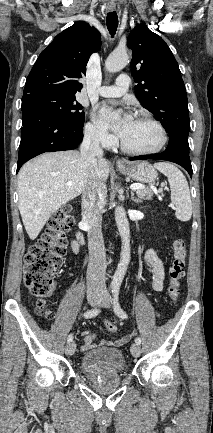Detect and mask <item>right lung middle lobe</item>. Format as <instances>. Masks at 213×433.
Instances as JSON below:
<instances>
[{
    "mask_svg": "<svg viewBox=\"0 0 213 433\" xmlns=\"http://www.w3.org/2000/svg\"><path fill=\"white\" fill-rule=\"evenodd\" d=\"M35 108L52 114L64 123L83 129L84 112L75 95H62L52 92H39L22 97L21 109Z\"/></svg>",
    "mask_w": 213,
    "mask_h": 433,
    "instance_id": "right-lung-middle-lobe-1",
    "label": "right lung middle lobe"
}]
</instances>
